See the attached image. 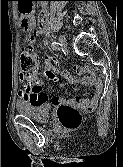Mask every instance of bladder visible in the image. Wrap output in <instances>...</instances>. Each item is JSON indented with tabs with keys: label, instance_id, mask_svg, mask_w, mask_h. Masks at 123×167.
<instances>
[{
	"label": "bladder",
	"instance_id": "31cf9c89",
	"mask_svg": "<svg viewBox=\"0 0 123 167\" xmlns=\"http://www.w3.org/2000/svg\"><path fill=\"white\" fill-rule=\"evenodd\" d=\"M18 112L37 122H46L50 119L52 105L48 102L31 103L18 101L16 104Z\"/></svg>",
	"mask_w": 123,
	"mask_h": 167
}]
</instances>
